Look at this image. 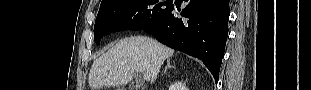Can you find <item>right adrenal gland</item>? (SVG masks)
<instances>
[{
    "label": "right adrenal gland",
    "mask_w": 311,
    "mask_h": 90,
    "mask_svg": "<svg viewBox=\"0 0 311 90\" xmlns=\"http://www.w3.org/2000/svg\"><path fill=\"white\" fill-rule=\"evenodd\" d=\"M169 68H172V66L170 65V62L167 61V65H166V67H165V69H164L163 74L166 73V71H167Z\"/></svg>",
    "instance_id": "2a0ac1e0"
}]
</instances>
